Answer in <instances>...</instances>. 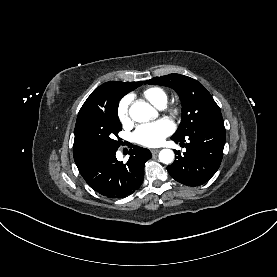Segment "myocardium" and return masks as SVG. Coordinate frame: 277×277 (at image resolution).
I'll return each instance as SVG.
<instances>
[{"label": "myocardium", "mask_w": 277, "mask_h": 277, "mask_svg": "<svg viewBox=\"0 0 277 277\" xmlns=\"http://www.w3.org/2000/svg\"><path fill=\"white\" fill-rule=\"evenodd\" d=\"M175 112H176V110H175V109H171V110H170V114H172V115H174V114H175Z\"/></svg>", "instance_id": "1"}]
</instances>
